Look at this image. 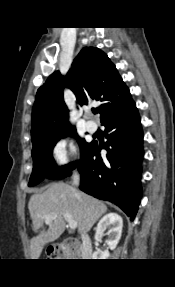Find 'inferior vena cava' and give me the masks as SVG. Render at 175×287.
<instances>
[{"instance_id": "inferior-vena-cava-1", "label": "inferior vena cava", "mask_w": 175, "mask_h": 287, "mask_svg": "<svg viewBox=\"0 0 175 287\" xmlns=\"http://www.w3.org/2000/svg\"><path fill=\"white\" fill-rule=\"evenodd\" d=\"M72 183L75 186H78L80 183V176L77 172H74V174L72 175Z\"/></svg>"}]
</instances>
